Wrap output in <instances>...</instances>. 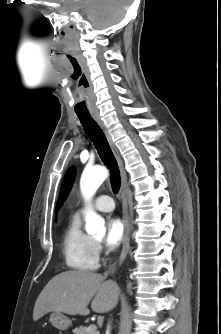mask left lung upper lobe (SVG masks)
Here are the masks:
<instances>
[{
    "mask_svg": "<svg viewBox=\"0 0 221 334\" xmlns=\"http://www.w3.org/2000/svg\"><path fill=\"white\" fill-rule=\"evenodd\" d=\"M74 176H75V169H74V167H71V168H69V170L67 171V173L65 175V178H64V181H63V184H62V188H61V193H60V198H59L58 205H60L62 203L63 199L67 195V193H68V191H69V189L72 185Z\"/></svg>",
    "mask_w": 221,
    "mask_h": 334,
    "instance_id": "obj_1",
    "label": "left lung upper lobe"
}]
</instances>
